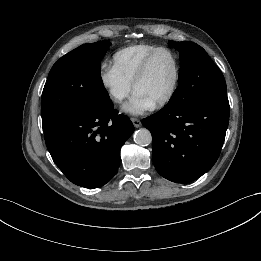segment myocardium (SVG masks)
<instances>
[{"label": "myocardium", "mask_w": 261, "mask_h": 261, "mask_svg": "<svg viewBox=\"0 0 261 261\" xmlns=\"http://www.w3.org/2000/svg\"><path fill=\"white\" fill-rule=\"evenodd\" d=\"M160 52H167L168 54L171 55L173 62H174V78H173V82H172L171 87H170L169 91L167 92V94L162 99H160L158 102H156L154 104V107L157 109L166 106L172 100V98L174 97V95L177 91V88L179 85V80H180V63H179V58H178L177 54L168 47H158L144 59V61L142 62L141 66L132 82L133 90H135L136 86L147 75L152 60Z\"/></svg>", "instance_id": "myocardium-1"}]
</instances>
